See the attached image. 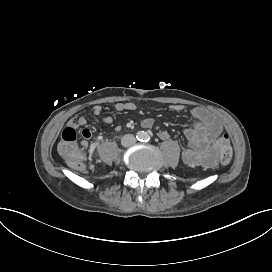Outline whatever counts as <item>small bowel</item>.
<instances>
[{
	"label": "small bowel",
	"mask_w": 272,
	"mask_h": 272,
	"mask_svg": "<svg viewBox=\"0 0 272 272\" xmlns=\"http://www.w3.org/2000/svg\"><path fill=\"white\" fill-rule=\"evenodd\" d=\"M171 108L174 111L184 110V106L182 105H173ZM135 109L136 105L133 102H117L114 105V110L116 112L133 111ZM102 111L103 108L101 105L96 104L92 107V113L95 116H100ZM190 115L192 117V126L184 130L188 145L182 149V160L190 166L204 165L205 153L210 147L213 138L218 136L222 131V125L220 120L213 113L204 108L194 107L190 109ZM102 120L104 124L109 125L113 122V117L106 115ZM86 123L87 119L85 116H77L71 119L67 123V126H72L76 129L85 126ZM152 124V119H145L142 121L144 127H151ZM116 129L120 130V127H117ZM81 136L84 139L82 146L87 147L88 140L92 136L91 130L87 127L83 128L81 130ZM158 137L162 140H167L169 138V133L167 131H160Z\"/></svg>",
	"instance_id": "1"
}]
</instances>
